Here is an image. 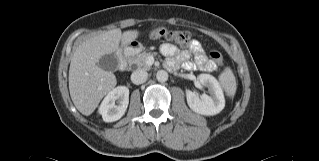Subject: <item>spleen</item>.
<instances>
[{
	"instance_id": "3e777b00",
	"label": "spleen",
	"mask_w": 319,
	"mask_h": 161,
	"mask_svg": "<svg viewBox=\"0 0 319 161\" xmlns=\"http://www.w3.org/2000/svg\"><path fill=\"white\" fill-rule=\"evenodd\" d=\"M219 82L228 96L233 97L235 95L237 89L236 78L229 67H226L219 75Z\"/></svg>"
}]
</instances>
